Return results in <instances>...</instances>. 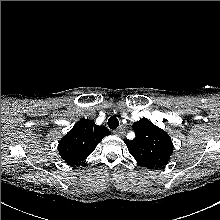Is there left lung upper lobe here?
Returning <instances> with one entry per match:
<instances>
[{
    "instance_id": "5c2ea615",
    "label": "left lung upper lobe",
    "mask_w": 220,
    "mask_h": 220,
    "mask_svg": "<svg viewBox=\"0 0 220 220\" xmlns=\"http://www.w3.org/2000/svg\"><path fill=\"white\" fill-rule=\"evenodd\" d=\"M136 137L125 141L135 160L150 169L164 167L173 153L170 136L151 121L143 118L133 124Z\"/></svg>"
}]
</instances>
